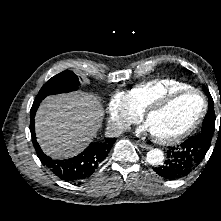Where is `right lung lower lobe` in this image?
I'll use <instances>...</instances> for the list:
<instances>
[{"label": "right lung lower lobe", "mask_w": 221, "mask_h": 221, "mask_svg": "<svg viewBox=\"0 0 221 221\" xmlns=\"http://www.w3.org/2000/svg\"><path fill=\"white\" fill-rule=\"evenodd\" d=\"M43 99H35L31 111H30V131L32 136L33 145L37 151V155L40 161L58 178L66 182H76L90 177L96 169L104 161L108 153L110 152L115 138H109L103 142L91 143L83 152L79 155L66 159V160H54L51 157L45 155L40 149L35 135V121L34 117L40 102Z\"/></svg>", "instance_id": "obj_1"}]
</instances>
